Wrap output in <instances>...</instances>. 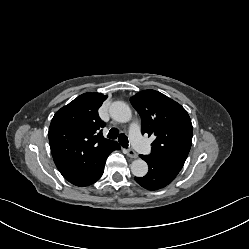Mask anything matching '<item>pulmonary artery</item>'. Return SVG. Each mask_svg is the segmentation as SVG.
<instances>
[{
  "instance_id": "e3ab8cb5",
  "label": "pulmonary artery",
  "mask_w": 249,
  "mask_h": 249,
  "mask_svg": "<svg viewBox=\"0 0 249 249\" xmlns=\"http://www.w3.org/2000/svg\"><path fill=\"white\" fill-rule=\"evenodd\" d=\"M129 137L131 144L140 152L146 153L150 147L142 136L141 129L138 123H133L129 129Z\"/></svg>"
}]
</instances>
